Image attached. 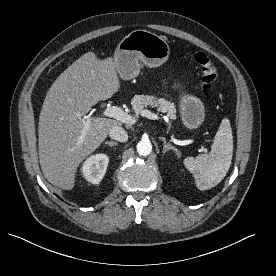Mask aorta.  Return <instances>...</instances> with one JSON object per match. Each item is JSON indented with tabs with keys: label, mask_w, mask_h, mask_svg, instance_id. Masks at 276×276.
<instances>
[{
	"label": "aorta",
	"mask_w": 276,
	"mask_h": 276,
	"mask_svg": "<svg viewBox=\"0 0 276 276\" xmlns=\"http://www.w3.org/2000/svg\"><path fill=\"white\" fill-rule=\"evenodd\" d=\"M137 152L141 156H147L152 152V144L149 140H141L136 146Z\"/></svg>",
	"instance_id": "obj_1"
}]
</instances>
